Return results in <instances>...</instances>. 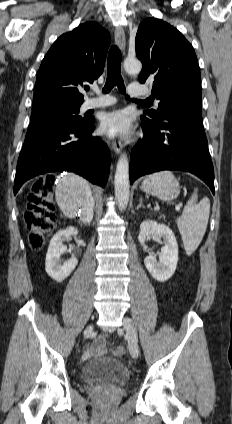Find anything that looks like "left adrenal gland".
<instances>
[{"mask_svg": "<svg viewBox=\"0 0 232 424\" xmlns=\"http://www.w3.org/2000/svg\"><path fill=\"white\" fill-rule=\"evenodd\" d=\"M141 207L145 208V207L142 205V197H140V199H139V205L137 206L136 210H139Z\"/></svg>", "mask_w": 232, "mask_h": 424, "instance_id": "1", "label": "left adrenal gland"}]
</instances>
